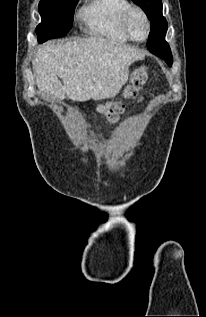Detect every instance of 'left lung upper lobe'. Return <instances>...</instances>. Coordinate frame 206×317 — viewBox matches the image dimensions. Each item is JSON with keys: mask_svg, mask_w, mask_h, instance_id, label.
<instances>
[{"mask_svg": "<svg viewBox=\"0 0 206 317\" xmlns=\"http://www.w3.org/2000/svg\"><path fill=\"white\" fill-rule=\"evenodd\" d=\"M135 4L140 6L146 13L151 22V32L149 34L147 44H152L153 41H165L167 31V21L162 15L161 0H132ZM165 59L169 66L172 65V55H167Z\"/></svg>", "mask_w": 206, "mask_h": 317, "instance_id": "left-lung-upper-lobe-1", "label": "left lung upper lobe"}]
</instances>
